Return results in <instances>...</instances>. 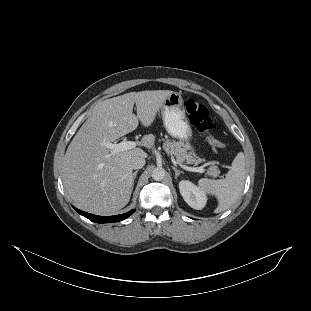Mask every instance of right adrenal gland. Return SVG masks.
<instances>
[{
  "instance_id": "right-adrenal-gland-1",
  "label": "right adrenal gland",
  "mask_w": 311,
  "mask_h": 311,
  "mask_svg": "<svg viewBox=\"0 0 311 311\" xmlns=\"http://www.w3.org/2000/svg\"><path fill=\"white\" fill-rule=\"evenodd\" d=\"M137 174H138V171H135V172H133V185H134V181H135V179H136V177H137Z\"/></svg>"
}]
</instances>
